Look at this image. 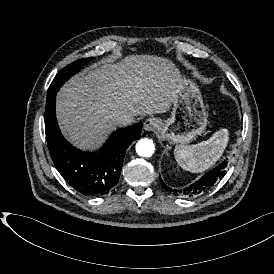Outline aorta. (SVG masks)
I'll return each instance as SVG.
<instances>
[{
	"label": "aorta",
	"instance_id": "762f6f07",
	"mask_svg": "<svg viewBox=\"0 0 274 274\" xmlns=\"http://www.w3.org/2000/svg\"><path fill=\"white\" fill-rule=\"evenodd\" d=\"M154 143L149 138H142L136 144V152L142 157H151L154 153Z\"/></svg>",
	"mask_w": 274,
	"mask_h": 274
}]
</instances>
